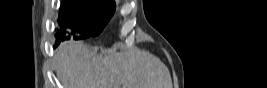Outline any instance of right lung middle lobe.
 <instances>
[{
	"instance_id": "dd1d6c3e",
	"label": "right lung middle lobe",
	"mask_w": 267,
	"mask_h": 88,
	"mask_svg": "<svg viewBox=\"0 0 267 88\" xmlns=\"http://www.w3.org/2000/svg\"><path fill=\"white\" fill-rule=\"evenodd\" d=\"M115 12V3L102 0H64L59 14L61 40H75L98 36ZM68 29L67 31H64ZM63 31V32H61Z\"/></svg>"
}]
</instances>
